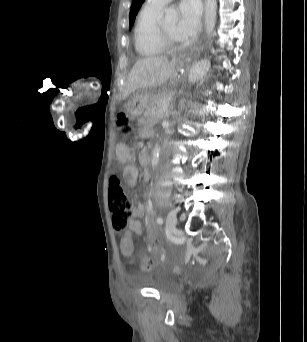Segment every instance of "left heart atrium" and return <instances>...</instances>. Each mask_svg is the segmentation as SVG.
I'll use <instances>...</instances> for the list:
<instances>
[{
    "mask_svg": "<svg viewBox=\"0 0 307 342\" xmlns=\"http://www.w3.org/2000/svg\"><path fill=\"white\" fill-rule=\"evenodd\" d=\"M201 8L198 3L190 1L181 6V16L176 24L175 36L182 44L193 41L200 31Z\"/></svg>",
    "mask_w": 307,
    "mask_h": 342,
    "instance_id": "obj_1",
    "label": "left heart atrium"
}]
</instances>
